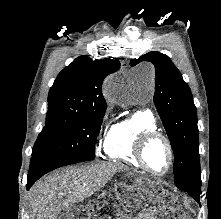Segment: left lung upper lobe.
<instances>
[{"label": "left lung upper lobe", "instance_id": "1", "mask_svg": "<svg viewBox=\"0 0 221 219\" xmlns=\"http://www.w3.org/2000/svg\"><path fill=\"white\" fill-rule=\"evenodd\" d=\"M142 61L156 68L154 103L173 149L175 184L183 191H200L199 131L190 88L165 54L152 51L132 59L130 65Z\"/></svg>", "mask_w": 221, "mask_h": 219}]
</instances>
